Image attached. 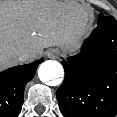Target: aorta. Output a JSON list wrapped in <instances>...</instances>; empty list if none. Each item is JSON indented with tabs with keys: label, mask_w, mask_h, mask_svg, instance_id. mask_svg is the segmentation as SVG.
<instances>
[{
	"label": "aorta",
	"mask_w": 117,
	"mask_h": 117,
	"mask_svg": "<svg viewBox=\"0 0 117 117\" xmlns=\"http://www.w3.org/2000/svg\"><path fill=\"white\" fill-rule=\"evenodd\" d=\"M64 76L62 65L54 60L43 62L38 69V77L43 83L56 80Z\"/></svg>",
	"instance_id": "1"
}]
</instances>
